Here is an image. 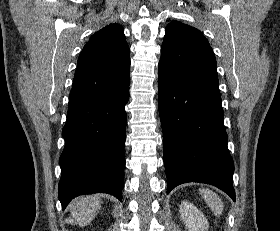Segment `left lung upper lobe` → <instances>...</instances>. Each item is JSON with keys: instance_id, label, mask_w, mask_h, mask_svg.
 Instances as JSON below:
<instances>
[{"instance_id": "5c2ea615", "label": "left lung upper lobe", "mask_w": 280, "mask_h": 231, "mask_svg": "<svg viewBox=\"0 0 280 231\" xmlns=\"http://www.w3.org/2000/svg\"><path fill=\"white\" fill-rule=\"evenodd\" d=\"M159 72L181 83L218 85L216 59L207 39L198 29L178 21L165 29Z\"/></svg>"}]
</instances>
